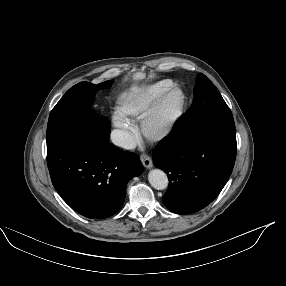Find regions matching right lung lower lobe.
Instances as JSON below:
<instances>
[{"label":"right lung lower lobe","mask_w":286,"mask_h":286,"mask_svg":"<svg viewBox=\"0 0 286 286\" xmlns=\"http://www.w3.org/2000/svg\"><path fill=\"white\" fill-rule=\"evenodd\" d=\"M52 183L76 212L103 219L120 210L127 182L143 172L139 157L91 132H78L47 146Z\"/></svg>","instance_id":"right-lung-lower-lobe-1"}]
</instances>
